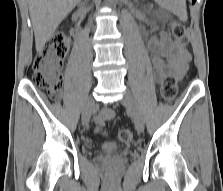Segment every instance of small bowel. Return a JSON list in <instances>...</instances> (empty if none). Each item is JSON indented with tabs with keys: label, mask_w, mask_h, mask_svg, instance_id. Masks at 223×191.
Here are the masks:
<instances>
[{
	"label": "small bowel",
	"mask_w": 223,
	"mask_h": 191,
	"mask_svg": "<svg viewBox=\"0 0 223 191\" xmlns=\"http://www.w3.org/2000/svg\"><path fill=\"white\" fill-rule=\"evenodd\" d=\"M148 48L153 55L152 65L157 81L167 75H174L177 79H182L185 76L191 53L178 42L173 41L166 34L160 33L150 38ZM113 117L112 109L102 108L95 117V123L98 128H101L106 121Z\"/></svg>",
	"instance_id": "obj_1"
}]
</instances>
